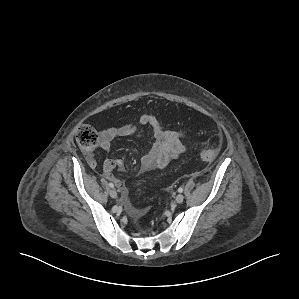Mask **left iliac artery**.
Here are the masks:
<instances>
[{
	"instance_id": "1",
	"label": "left iliac artery",
	"mask_w": 299,
	"mask_h": 299,
	"mask_svg": "<svg viewBox=\"0 0 299 299\" xmlns=\"http://www.w3.org/2000/svg\"><path fill=\"white\" fill-rule=\"evenodd\" d=\"M178 192H179V193L183 192V188H182V187H179V188H178Z\"/></svg>"
}]
</instances>
